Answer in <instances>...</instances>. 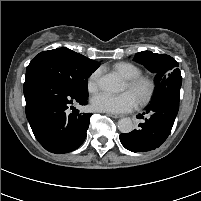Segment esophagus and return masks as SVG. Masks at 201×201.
I'll list each match as a JSON object with an SVG mask.
<instances>
[{"mask_svg":"<svg viewBox=\"0 0 201 201\" xmlns=\"http://www.w3.org/2000/svg\"><path fill=\"white\" fill-rule=\"evenodd\" d=\"M108 116H110V117H112V118H115V119H118V118H121V117H122L121 115L112 114V113H108Z\"/></svg>","mask_w":201,"mask_h":201,"instance_id":"1","label":"esophagus"}]
</instances>
